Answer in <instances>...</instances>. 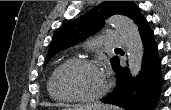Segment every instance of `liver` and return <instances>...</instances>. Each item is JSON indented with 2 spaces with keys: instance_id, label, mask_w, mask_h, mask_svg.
<instances>
[{
  "instance_id": "6515ba94",
  "label": "liver",
  "mask_w": 171,
  "mask_h": 110,
  "mask_svg": "<svg viewBox=\"0 0 171 110\" xmlns=\"http://www.w3.org/2000/svg\"><path fill=\"white\" fill-rule=\"evenodd\" d=\"M81 108H84V109H98V110H111L112 107H109V106H102V105H94V106H85V107H81Z\"/></svg>"
}]
</instances>
